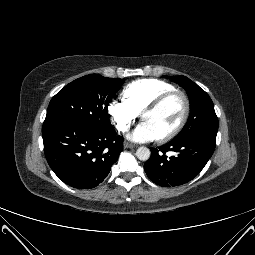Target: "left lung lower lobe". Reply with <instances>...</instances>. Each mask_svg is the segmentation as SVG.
<instances>
[{"mask_svg":"<svg viewBox=\"0 0 255 255\" xmlns=\"http://www.w3.org/2000/svg\"><path fill=\"white\" fill-rule=\"evenodd\" d=\"M216 141L194 138L183 141H170L151 148V156L144 164L147 176L155 184L171 187L192 180L204 168L215 149ZM176 155L167 157L166 152Z\"/></svg>","mask_w":255,"mask_h":255,"instance_id":"1","label":"left lung lower lobe"}]
</instances>
